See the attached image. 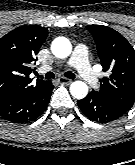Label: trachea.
<instances>
[{
    "mask_svg": "<svg viewBox=\"0 0 135 165\" xmlns=\"http://www.w3.org/2000/svg\"><path fill=\"white\" fill-rule=\"evenodd\" d=\"M64 76L69 78V79H74L75 78V74L72 73V72H65ZM39 77L45 78V79H52V78L55 77V74L53 72H47L44 77L43 76H39Z\"/></svg>",
    "mask_w": 135,
    "mask_h": 165,
    "instance_id": "obj_1",
    "label": "trachea"
}]
</instances>
